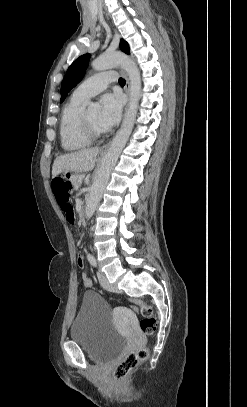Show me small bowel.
Listing matches in <instances>:
<instances>
[{
    "label": "small bowel",
    "mask_w": 247,
    "mask_h": 407,
    "mask_svg": "<svg viewBox=\"0 0 247 407\" xmlns=\"http://www.w3.org/2000/svg\"><path fill=\"white\" fill-rule=\"evenodd\" d=\"M64 215H65L66 221L69 224L73 225L75 223V212H74L73 208H71L68 212L64 213ZM77 264L79 267H83L84 262H83L82 257H78ZM82 280H83V284L85 287H90L92 285L91 279L88 278L86 274H82Z\"/></svg>",
    "instance_id": "1"
}]
</instances>
